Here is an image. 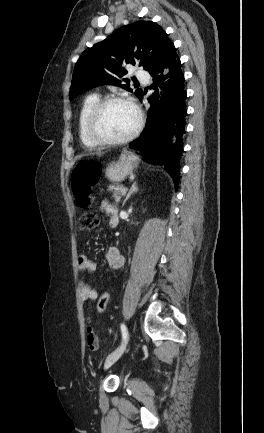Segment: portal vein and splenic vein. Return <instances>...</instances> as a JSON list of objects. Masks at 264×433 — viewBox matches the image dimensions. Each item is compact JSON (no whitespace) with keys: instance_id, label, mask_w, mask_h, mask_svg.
<instances>
[{"instance_id":"obj_1","label":"portal vein and splenic vein","mask_w":264,"mask_h":433,"mask_svg":"<svg viewBox=\"0 0 264 433\" xmlns=\"http://www.w3.org/2000/svg\"><path fill=\"white\" fill-rule=\"evenodd\" d=\"M127 190H128L127 188H122V192H123V193H126Z\"/></svg>"}]
</instances>
